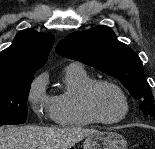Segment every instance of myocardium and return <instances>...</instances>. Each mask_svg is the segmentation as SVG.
Instances as JSON below:
<instances>
[{
  "label": "myocardium",
  "instance_id": "1",
  "mask_svg": "<svg viewBox=\"0 0 155 149\" xmlns=\"http://www.w3.org/2000/svg\"><path fill=\"white\" fill-rule=\"evenodd\" d=\"M102 85H107V86L114 88L118 92V94L120 95V97L122 99L123 107H124L123 112L117 118L110 119V120L103 119L102 117H100V115L97 113V111L94 107V103H93L94 92L96 91V89L98 87H100ZM82 106H83L85 113L88 115V117L93 122L104 124V125L117 124V123L123 121L129 113V101H128V97H127L126 93L124 92V90L122 89V87L120 85H118L117 83H115L111 80H107V79L94 80L85 87V89L82 93Z\"/></svg>",
  "mask_w": 155,
  "mask_h": 149
}]
</instances>
